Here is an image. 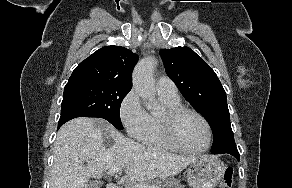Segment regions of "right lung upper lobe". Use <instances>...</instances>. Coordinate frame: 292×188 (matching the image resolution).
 Returning a JSON list of instances; mask_svg holds the SVG:
<instances>
[{
    "mask_svg": "<svg viewBox=\"0 0 292 188\" xmlns=\"http://www.w3.org/2000/svg\"><path fill=\"white\" fill-rule=\"evenodd\" d=\"M138 55L120 46H105L82 61L69 81H94L132 88L131 75Z\"/></svg>",
    "mask_w": 292,
    "mask_h": 188,
    "instance_id": "obj_1",
    "label": "right lung upper lobe"
}]
</instances>
